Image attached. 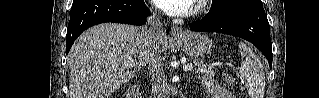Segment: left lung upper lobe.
Wrapping results in <instances>:
<instances>
[{"mask_svg": "<svg viewBox=\"0 0 319 98\" xmlns=\"http://www.w3.org/2000/svg\"><path fill=\"white\" fill-rule=\"evenodd\" d=\"M248 1L251 0H212L211 9L204 18L208 20L220 18L227 14L233 7Z\"/></svg>", "mask_w": 319, "mask_h": 98, "instance_id": "obj_1", "label": "left lung upper lobe"}]
</instances>
